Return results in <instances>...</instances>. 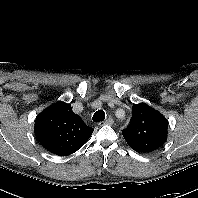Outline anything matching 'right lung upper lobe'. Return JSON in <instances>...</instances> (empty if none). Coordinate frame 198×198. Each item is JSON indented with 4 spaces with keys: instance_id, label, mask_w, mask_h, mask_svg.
<instances>
[{
    "instance_id": "right-lung-upper-lobe-1",
    "label": "right lung upper lobe",
    "mask_w": 198,
    "mask_h": 198,
    "mask_svg": "<svg viewBox=\"0 0 198 198\" xmlns=\"http://www.w3.org/2000/svg\"><path fill=\"white\" fill-rule=\"evenodd\" d=\"M93 129L62 101L43 110L35 120L34 133L41 145L56 155L67 156L79 150Z\"/></svg>"
}]
</instances>
